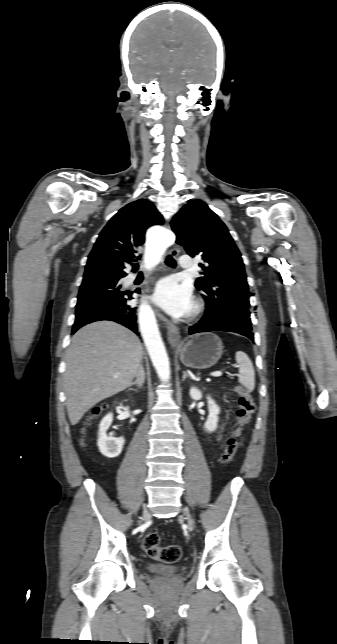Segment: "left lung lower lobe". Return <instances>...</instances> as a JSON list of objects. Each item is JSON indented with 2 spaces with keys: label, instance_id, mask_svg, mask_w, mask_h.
I'll use <instances>...</instances> for the list:
<instances>
[{
  "label": "left lung lower lobe",
  "instance_id": "obj_1",
  "mask_svg": "<svg viewBox=\"0 0 337 644\" xmlns=\"http://www.w3.org/2000/svg\"><path fill=\"white\" fill-rule=\"evenodd\" d=\"M211 331L234 332L254 341L252 328L221 315L204 314L203 318L197 324L189 328V334Z\"/></svg>",
  "mask_w": 337,
  "mask_h": 644
}]
</instances>
